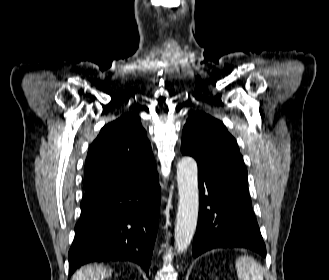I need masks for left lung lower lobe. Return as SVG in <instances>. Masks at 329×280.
Segmentation results:
<instances>
[{"instance_id":"1","label":"left lung lower lobe","mask_w":329,"mask_h":280,"mask_svg":"<svg viewBox=\"0 0 329 280\" xmlns=\"http://www.w3.org/2000/svg\"><path fill=\"white\" fill-rule=\"evenodd\" d=\"M200 207L193 256L217 248H247L266 257L247 185L216 193L199 187Z\"/></svg>"}]
</instances>
